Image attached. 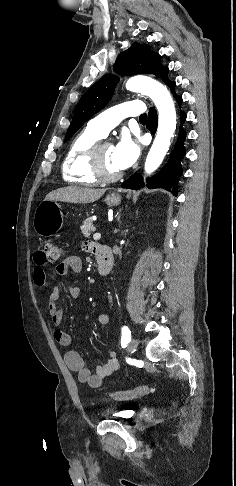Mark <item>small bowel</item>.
Returning a JSON list of instances; mask_svg holds the SVG:
<instances>
[{
  "instance_id": "c3829d8e",
  "label": "small bowel",
  "mask_w": 236,
  "mask_h": 486,
  "mask_svg": "<svg viewBox=\"0 0 236 486\" xmlns=\"http://www.w3.org/2000/svg\"><path fill=\"white\" fill-rule=\"evenodd\" d=\"M84 249L88 252L95 253V244L86 242ZM35 267L33 271L34 283L40 287L48 286V278L45 270L46 262L43 260L41 252L37 253L35 258ZM71 269L75 274H79L82 270V260L79 256H68L63 262L56 266L57 275H65ZM69 296L77 298L80 295V288L77 285L65 287ZM61 286H55L48 296L47 312L50 316L52 325L56 328L54 337L56 341L62 346H69L72 342L71 335L58 327L62 321V309L59 303ZM109 316L102 313L98 317L101 325L109 323ZM68 368L77 373L80 382L88 385L91 388H99L103 385L104 380L116 372L119 368V361L114 351L107 354L106 361L96 366L95 372L92 373L84 363L82 356L75 350H69L64 356Z\"/></svg>"
}]
</instances>
